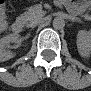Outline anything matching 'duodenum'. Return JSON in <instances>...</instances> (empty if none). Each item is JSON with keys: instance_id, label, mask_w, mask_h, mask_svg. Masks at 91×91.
<instances>
[{"instance_id": "duodenum-1", "label": "duodenum", "mask_w": 91, "mask_h": 91, "mask_svg": "<svg viewBox=\"0 0 91 91\" xmlns=\"http://www.w3.org/2000/svg\"><path fill=\"white\" fill-rule=\"evenodd\" d=\"M11 29L14 33H21L24 30V21L22 19L15 20Z\"/></svg>"}]
</instances>
